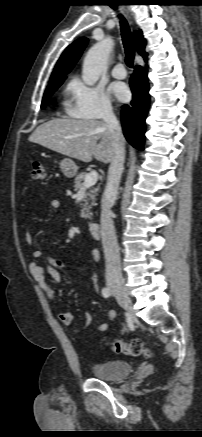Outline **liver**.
Wrapping results in <instances>:
<instances>
[{"instance_id": "liver-1", "label": "liver", "mask_w": 202, "mask_h": 437, "mask_svg": "<svg viewBox=\"0 0 202 437\" xmlns=\"http://www.w3.org/2000/svg\"><path fill=\"white\" fill-rule=\"evenodd\" d=\"M28 140L86 163L93 157L110 163L114 157L111 130L101 120L53 119L38 126Z\"/></svg>"}]
</instances>
